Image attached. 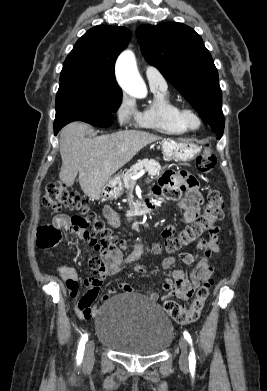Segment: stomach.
I'll list each match as a JSON object with an SVG mask.
<instances>
[{
    "mask_svg": "<svg viewBox=\"0 0 267 391\" xmlns=\"http://www.w3.org/2000/svg\"><path fill=\"white\" fill-rule=\"evenodd\" d=\"M162 152L166 161H190L200 152V148L197 144L188 141L164 140L162 142ZM122 176V174H118L104 184L100 191L102 200L113 199L122 194Z\"/></svg>",
    "mask_w": 267,
    "mask_h": 391,
    "instance_id": "0dacf381",
    "label": "stomach"
}]
</instances>
